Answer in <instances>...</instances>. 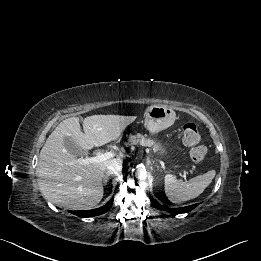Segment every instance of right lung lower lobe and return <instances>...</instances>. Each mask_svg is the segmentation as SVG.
Returning <instances> with one entry per match:
<instances>
[{"label": "right lung lower lobe", "instance_id": "right-lung-lower-lobe-1", "mask_svg": "<svg viewBox=\"0 0 261 261\" xmlns=\"http://www.w3.org/2000/svg\"><path fill=\"white\" fill-rule=\"evenodd\" d=\"M113 199L114 197L111 198V200L104 206L97 208V209H93V210H82V211H70L72 214L78 216V217H92V216H97V215H101L105 212H107L112 204H113Z\"/></svg>", "mask_w": 261, "mask_h": 261}]
</instances>
